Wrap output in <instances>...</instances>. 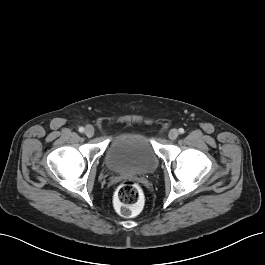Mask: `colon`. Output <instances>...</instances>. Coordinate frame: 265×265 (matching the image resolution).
Listing matches in <instances>:
<instances>
[{"label": "colon", "instance_id": "obj_1", "mask_svg": "<svg viewBox=\"0 0 265 265\" xmlns=\"http://www.w3.org/2000/svg\"><path fill=\"white\" fill-rule=\"evenodd\" d=\"M142 201L139 185L127 180L120 183L115 192V205L123 216L133 215Z\"/></svg>", "mask_w": 265, "mask_h": 265}]
</instances>
